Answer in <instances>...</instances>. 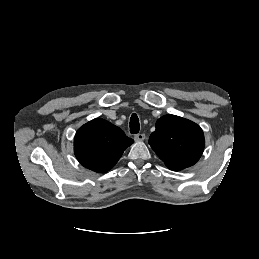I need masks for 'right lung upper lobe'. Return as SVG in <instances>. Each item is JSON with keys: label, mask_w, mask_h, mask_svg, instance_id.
I'll return each mask as SVG.
<instances>
[{"label": "right lung upper lobe", "mask_w": 259, "mask_h": 259, "mask_svg": "<svg viewBox=\"0 0 259 259\" xmlns=\"http://www.w3.org/2000/svg\"><path fill=\"white\" fill-rule=\"evenodd\" d=\"M133 142L119 127L96 118L77 130L74 154L84 167L103 173L113 168Z\"/></svg>", "instance_id": "obj_1"}]
</instances>
